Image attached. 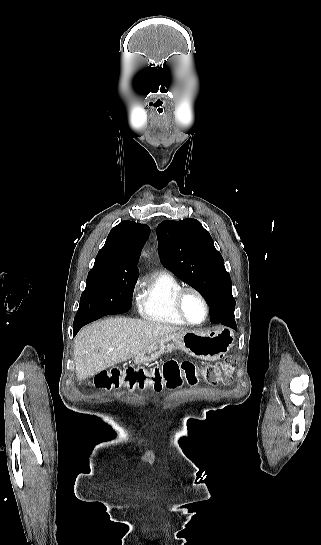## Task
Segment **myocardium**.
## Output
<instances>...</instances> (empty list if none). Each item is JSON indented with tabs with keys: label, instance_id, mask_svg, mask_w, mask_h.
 <instances>
[{
	"label": "myocardium",
	"instance_id": "1",
	"mask_svg": "<svg viewBox=\"0 0 321 545\" xmlns=\"http://www.w3.org/2000/svg\"><path fill=\"white\" fill-rule=\"evenodd\" d=\"M188 292H193L195 293L201 300L203 306H204V309H205V313H204V317L201 321L199 322H192L190 321L186 316L185 314L183 313V310H182V300H183V297L186 293ZM172 311L175 315V317L180 321L182 322L185 326H189V327H198V326H202L209 318V315H210V306H209V303H208V300L206 298V296L196 287H192V286H186V287H181L180 289H178L173 297H172Z\"/></svg>",
	"mask_w": 321,
	"mask_h": 545
}]
</instances>
